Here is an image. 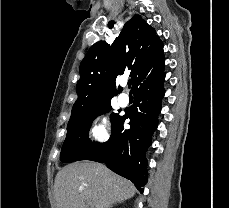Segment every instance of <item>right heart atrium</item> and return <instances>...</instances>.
<instances>
[{
  "label": "right heart atrium",
  "instance_id": "d8ad5b80",
  "mask_svg": "<svg viewBox=\"0 0 229 208\" xmlns=\"http://www.w3.org/2000/svg\"><path fill=\"white\" fill-rule=\"evenodd\" d=\"M89 138L98 143L106 142L110 138V121L107 115L98 114L92 118Z\"/></svg>",
  "mask_w": 229,
  "mask_h": 208
}]
</instances>
